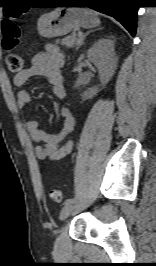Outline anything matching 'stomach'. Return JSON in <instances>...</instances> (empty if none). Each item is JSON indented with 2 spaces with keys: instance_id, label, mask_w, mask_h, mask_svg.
I'll use <instances>...</instances> for the list:
<instances>
[{
  "instance_id": "0dacf381",
  "label": "stomach",
  "mask_w": 156,
  "mask_h": 266,
  "mask_svg": "<svg viewBox=\"0 0 156 266\" xmlns=\"http://www.w3.org/2000/svg\"><path fill=\"white\" fill-rule=\"evenodd\" d=\"M99 24L97 14L90 9L59 7L40 17L38 32L44 38H53L67 35L77 27L92 28Z\"/></svg>"
}]
</instances>
